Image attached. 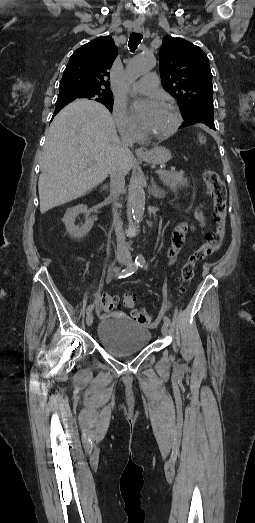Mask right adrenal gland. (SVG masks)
Here are the masks:
<instances>
[{"label":"right adrenal gland","mask_w":255,"mask_h":523,"mask_svg":"<svg viewBox=\"0 0 255 523\" xmlns=\"http://www.w3.org/2000/svg\"><path fill=\"white\" fill-rule=\"evenodd\" d=\"M102 190H109L108 186H102Z\"/></svg>","instance_id":"1"}]
</instances>
